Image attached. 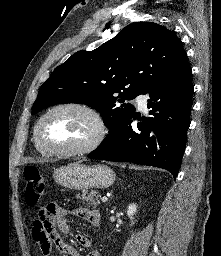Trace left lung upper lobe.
Instances as JSON below:
<instances>
[{
    "label": "left lung upper lobe",
    "mask_w": 221,
    "mask_h": 256,
    "mask_svg": "<svg viewBox=\"0 0 221 256\" xmlns=\"http://www.w3.org/2000/svg\"><path fill=\"white\" fill-rule=\"evenodd\" d=\"M186 64L182 43L172 31L152 22L132 23L99 48L78 51L56 67L40 87L32 114L61 103L86 104L100 112L112 131L135 112L126 101L147 94Z\"/></svg>",
    "instance_id": "obj_1"
}]
</instances>
